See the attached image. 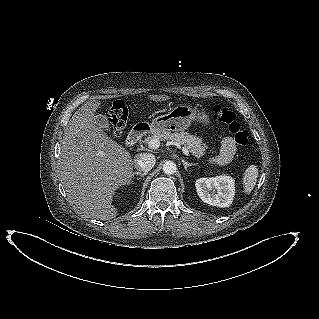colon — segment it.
Listing matches in <instances>:
<instances>
[{
  "instance_id": "obj_1",
  "label": "colon",
  "mask_w": 319,
  "mask_h": 319,
  "mask_svg": "<svg viewBox=\"0 0 319 319\" xmlns=\"http://www.w3.org/2000/svg\"><path fill=\"white\" fill-rule=\"evenodd\" d=\"M213 117L227 126L230 133L234 136V141L241 147H248L250 144L249 134L241 128L235 113L225 107L216 105L212 108ZM108 120L113 133L121 135L127 124L128 109L122 100L115 101L107 111Z\"/></svg>"
}]
</instances>
